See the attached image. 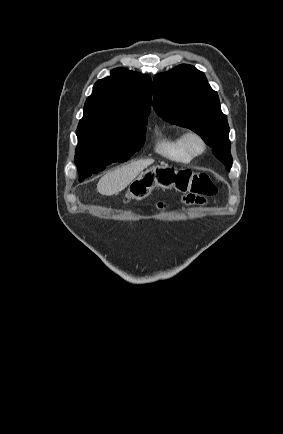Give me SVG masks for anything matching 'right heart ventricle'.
Wrapping results in <instances>:
<instances>
[{
    "mask_svg": "<svg viewBox=\"0 0 283 434\" xmlns=\"http://www.w3.org/2000/svg\"><path fill=\"white\" fill-rule=\"evenodd\" d=\"M154 150L160 156L173 162L189 163L192 159L183 148L180 132L159 131Z\"/></svg>",
    "mask_w": 283,
    "mask_h": 434,
    "instance_id": "1",
    "label": "right heart ventricle"
}]
</instances>
